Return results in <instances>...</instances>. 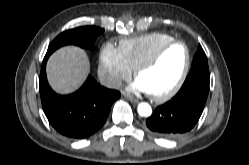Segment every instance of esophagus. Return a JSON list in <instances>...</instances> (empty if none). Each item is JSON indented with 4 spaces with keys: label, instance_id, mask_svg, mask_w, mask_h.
Instances as JSON below:
<instances>
[{
    "label": "esophagus",
    "instance_id": "obj_1",
    "mask_svg": "<svg viewBox=\"0 0 249 165\" xmlns=\"http://www.w3.org/2000/svg\"><path fill=\"white\" fill-rule=\"evenodd\" d=\"M124 97H126L128 100H130L132 103H138V99L134 98L133 96L129 94H124Z\"/></svg>",
    "mask_w": 249,
    "mask_h": 165
}]
</instances>
